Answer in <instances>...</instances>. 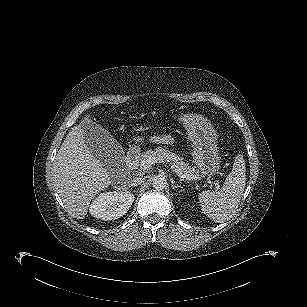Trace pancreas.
<instances>
[{"label":"pancreas","instance_id":"obj_1","mask_svg":"<svg viewBox=\"0 0 307 307\" xmlns=\"http://www.w3.org/2000/svg\"><path fill=\"white\" fill-rule=\"evenodd\" d=\"M146 157L157 158L159 161L170 164L173 170H177L188 176L198 172L193 167L189 166L188 163L184 162L183 158L162 147H157L155 150H149L146 153L140 155L138 159L139 165L141 161Z\"/></svg>","mask_w":307,"mask_h":307}]
</instances>
